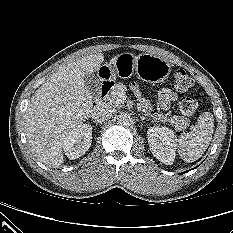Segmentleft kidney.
Here are the masks:
<instances>
[{"mask_svg": "<svg viewBox=\"0 0 233 233\" xmlns=\"http://www.w3.org/2000/svg\"><path fill=\"white\" fill-rule=\"evenodd\" d=\"M147 138L153 156L166 165L173 164L177 141L173 131L167 127H150Z\"/></svg>", "mask_w": 233, "mask_h": 233, "instance_id": "5707ae66", "label": "left kidney"}]
</instances>
